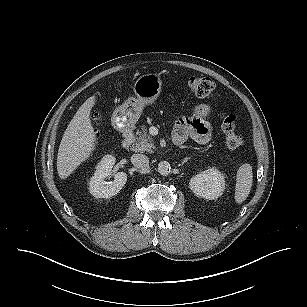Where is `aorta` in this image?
Returning <instances> with one entry per match:
<instances>
[{
    "mask_svg": "<svg viewBox=\"0 0 307 307\" xmlns=\"http://www.w3.org/2000/svg\"><path fill=\"white\" fill-rule=\"evenodd\" d=\"M171 171V165L167 161H161L158 164V172L162 176H167Z\"/></svg>",
    "mask_w": 307,
    "mask_h": 307,
    "instance_id": "1",
    "label": "aorta"
}]
</instances>
